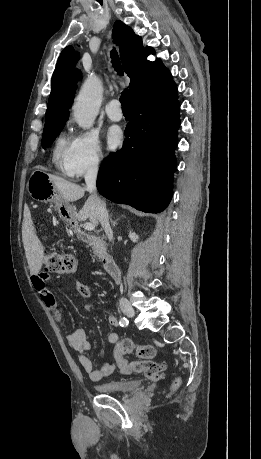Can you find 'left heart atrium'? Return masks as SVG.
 Segmentation results:
<instances>
[{"instance_id": "left-heart-atrium-1", "label": "left heart atrium", "mask_w": 261, "mask_h": 459, "mask_svg": "<svg viewBox=\"0 0 261 459\" xmlns=\"http://www.w3.org/2000/svg\"><path fill=\"white\" fill-rule=\"evenodd\" d=\"M121 139L122 133L118 127L112 126L108 129L106 140L109 149H115L121 143Z\"/></svg>"}]
</instances>
